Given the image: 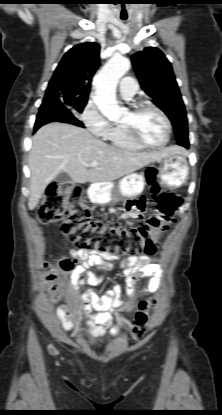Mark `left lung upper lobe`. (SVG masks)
<instances>
[{
	"label": "left lung upper lobe",
	"instance_id": "obj_1",
	"mask_svg": "<svg viewBox=\"0 0 222 415\" xmlns=\"http://www.w3.org/2000/svg\"><path fill=\"white\" fill-rule=\"evenodd\" d=\"M131 60L141 88L169 117L176 139L188 140L185 106L171 63L162 51L155 47H147L135 53Z\"/></svg>",
	"mask_w": 222,
	"mask_h": 415
}]
</instances>
